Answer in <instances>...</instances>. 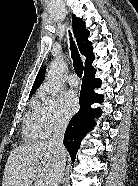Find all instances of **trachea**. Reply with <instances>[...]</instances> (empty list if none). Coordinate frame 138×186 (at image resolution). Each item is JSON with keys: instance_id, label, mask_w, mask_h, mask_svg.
<instances>
[{"instance_id": "obj_1", "label": "trachea", "mask_w": 138, "mask_h": 186, "mask_svg": "<svg viewBox=\"0 0 138 186\" xmlns=\"http://www.w3.org/2000/svg\"><path fill=\"white\" fill-rule=\"evenodd\" d=\"M70 50H71V57L73 59V65H74L75 72L77 76L81 78L84 67H83V63L81 61L79 52L77 50V47L75 43L73 42L71 35H70Z\"/></svg>"}]
</instances>
